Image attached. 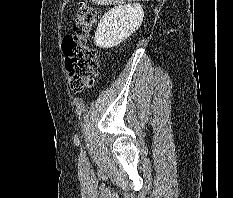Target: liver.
Wrapping results in <instances>:
<instances>
[{"mask_svg":"<svg viewBox=\"0 0 233 198\" xmlns=\"http://www.w3.org/2000/svg\"><path fill=\"white\" fill-rule=\"evenodd\" d=\"M90 1L100 6H107V5H123L126 2H132V1H149V0H90Z\"/></svg>","mask_w":233,"mask_h":198,"instance_id":"1","label":"liver"}]
</instances>
